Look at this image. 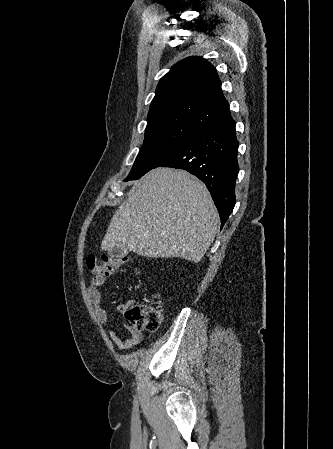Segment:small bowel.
Here are the masks:
<instances>
[{"label": "small bowel", "mask_w": 333, "mask_h": 449, "mask_svg": "<svg viewBox=\"0 0 333 449\" xmlns=\"http://www.w3.org/2000/svg\"><path fill=\"white\" fill-rule=\"evenodd\" d=\"M106 275L94 274L88 284V294L98 322L103 326H108L110 323V314L101 306V292L100 287L104 284ZM128 304H122L118 307L120 313H124ZM129 337L122 338L115 331H110L111 339L114 345L121 350H126L135 347L142 340V333L134 327H128Z\"/></svg>", "instance_id": "1"}]
</instances>
